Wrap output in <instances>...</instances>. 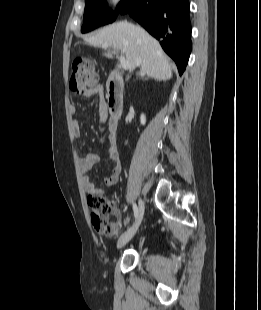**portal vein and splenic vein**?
<instances>
[{"label":"portal vein and splenic vein","instance_id":"18ae733b","mask_svg":"<svg viewBox=\"0 0 261 310\" xmlns=\"http://www.w3.org/2000/svg\"><path fill=\"white\" fill-rule=\"evenodd\" d=\"M110 45L107 44V43H104L102 45L103 48H107L109 47ZM119 60H120V64L121 66L124 68V69H129L130 68V63L125 59V57L123 55H120L119 57Z\"/></svg>","mask_w":261,"mask_h":310}]
</instances>
